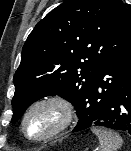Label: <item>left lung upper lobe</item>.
<instances>
[{
	"mask_svg": "<svg viewBox=\"0 0 131 151\" xmlns=\"http://www.w3.org/2000/svg\"><path fill=\"white\" fill-rule=\"evenodd\" d=\"M131 45V15L121 0H66L28 36L14 74L16 122L26 108L60 95L77 115L102 66Z\"/></svg>",
	"mask_w": 131,
	"mask_h": 151,
	"instance_id": "5c2ea615",
	"label": "left lung upper lobe"
}]
</instances>
